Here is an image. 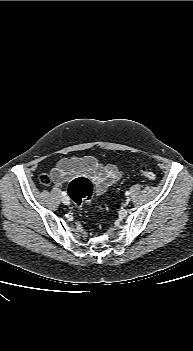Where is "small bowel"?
Returning <instances> with one entry per match:
<instances>
[{
  "label": "small bowel",
  "mask_w": 193,
  "mask_h": 351,
  "mask_svg": "<svg viewBox=\"0 0 193 351\" xmlns=\"http://www.w3.org/2000/svg\"><path fill=\"white\" fill-rule=\"evenodd\" d=\"M78 175H84L90 179L98 194L116 184L121 176L115 165L103 164L91 156L64 158L51 171V177L57 186H62Z\"/></svg>",
  "instance_id": "c3829d8e"
}]
</instances>
